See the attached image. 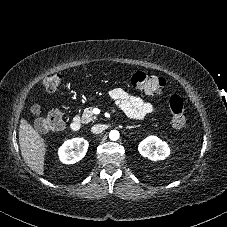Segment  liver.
Instances as JSON below:
<instances>
[{
  "label": "liver",
  "instance_id": "liver-1",
  "mask_svg": "<svg viewBox=\"0 0 227 227\" xmlns=\"http://www.w3.org/2000/svg\"><path fill=\"white\" fill-rule=\"evenodd\" d=\"M19 144L27 166L39 175L44 174L45 143L39 133L25 120H20Z\"/></svg>",
  "mask_w": 227,
  "mask_h": 227
}]
</instances>
